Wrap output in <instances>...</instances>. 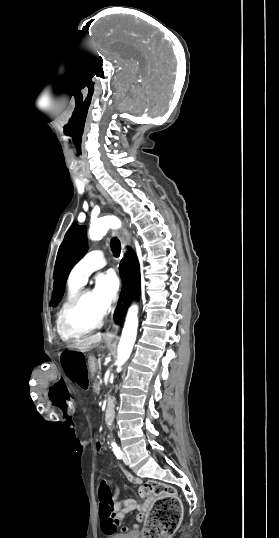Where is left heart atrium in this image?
Masks as SVG:
<instances>
[{
    "mask_svg": "<svg viewBox=\"0 0 279 538\" xmlns=\"http://www.w3.org/2000/svg\"><path fill=\"white\" fill-rule=\"evenodd\" d=\"M94 292L103 308L107 312L119 289V278L114 270H107L96 277Z\"/></svg>",
    "mask_w": 279,
    "mask_h": 538,
    "instance_id": "39dd6f15",
    "label": "left heart atrium"
}]
</instances>
